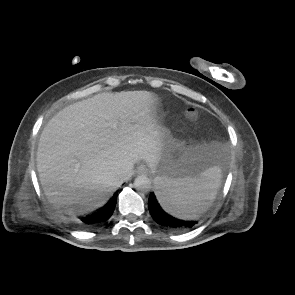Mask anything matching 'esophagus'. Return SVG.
<instances>
[{
  "label": "esophagus",
  "mask_w": 295,
  "mask_h": 295,
  "mask_svg": "<svg viewBox=\"0 0 295 295\" xmlns=\"http://www.w3.org/2000/svg\"><path fill=\"white\" fill-rule=\"evenodd\" d=\"M137 174H141V175H144V174H147L148 173V168L145 166V165H140L138 166L137 168Z\"/></svg>",
  "instance_id": "obj_1"
}]
</instances>
